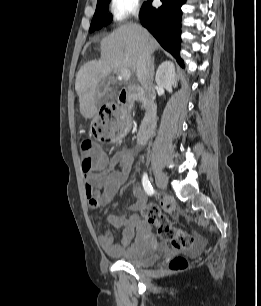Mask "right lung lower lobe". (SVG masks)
Here are the masks:
<instances>
[{"label":"right lung lower lobe","mask_w":261,"mask_h":306,"mask_svg":"<svg viewBox=\"0 0 261 306\" xmlns=\"http://www.w3.org/2000/svg\"><path fill=\"white\" fill-rule=\"evenodd\" d=\"M152 1L145 2L140 10L141 24L146 27L161 46L170 52L183 65L179 57L181 6L186 0H161L162 6L152 7Z\"/></svg>","instance_id":"right-lung-lower-lobe-1"}]
</instances>
